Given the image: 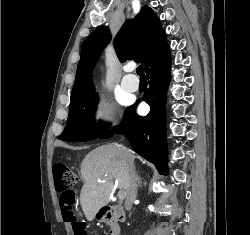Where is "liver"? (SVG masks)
Listing matches in <instances>:
<instances>
[{
	"instance_id": "1",
	"label": "liver",
	"mask_w": 250,
	"mask_h": 235,
	"mask_svg": "<svg viewBox=\"0 0 250 235\" xmlns=\"http://www.w3.org/2000/svg\"><path fill=\"white\" fill-rule=\"evenodd\" d=\"M81 175L84 184L80 203L88 221L109 203L114 180L125 192L130 184L128 165L123 162L116 145H103L90 151L81 164Z\"/></svg>"
}]
</instances>
